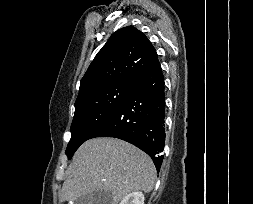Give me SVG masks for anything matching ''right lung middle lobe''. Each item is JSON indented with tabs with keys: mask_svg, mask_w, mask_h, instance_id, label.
<instances>
[{
	"mask_svg": "<svg viewBox=\"0 0 253 204\" xmlns=\"http://www.w3.org/2000/svg\"><path fill=\"white\" fill-rule=\"evenodd\" d=\"M132 85L131 82L113 83L94 89L76 100L71 139L66 149L69 160L83 142L93 138L130 92Z\"/></svg>",
	"mask_w": 253,
	"mask_h": 204,
	"instance_id": "1",
	"label": "right lung middle lobe"
}]
</instances>
